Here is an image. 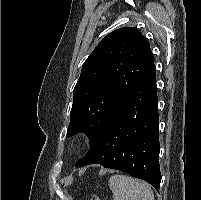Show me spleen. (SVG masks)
Returning a JSON list of instances; mask_svg holds the SVG:
<instances>
[{
  "instance_id": "1",
  "label": "spleen",
  "mask_w": 201,
  "mask_h": 200,
  "mask_svg": "<svg viewBox=\"0 0 201 200\" xmlns=\"http://www.w3.org/2000/svg\"><path fill=\"white\" fill-rule=\"evenodd\" d=\"M109 187L114 200H154L151 187L126 175H113L109 179Z\"/></svg>"
}]
</instances>
